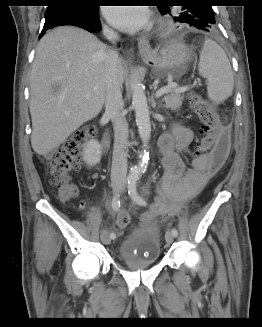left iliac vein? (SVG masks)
Wrapping results in <instances>:
<instances>
[{
	"label": "left iliac vein",
	"instance_id": "obj_1",
	"mask_svg": "<svg viewBox=\"0 0 262 327\" xmlns=\"http://www.w3.org/2000/svg\"><path fill=\"white\" fill-rule=\"evenodd\" d=\"M165 240L168 244H172L174 241V235L171 232H166L165 234Z\"/></svg>",
	"mask_w": 262,
	"mask_h": 327
}]
</instances>
